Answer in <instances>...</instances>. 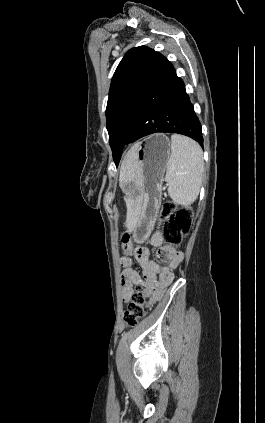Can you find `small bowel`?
<instances>
[{"label": "small bowel", "mask_w": 265, "mask_h": 423, "mask_svg": "<svg viewBox=\"0 0 265 423\" xmlns=\"http://www.w3.org/2000/svg\"><path fill=\"white\" fill-rule=\"evenodd\" d=\"M150 243L154 247L161 248L157 252L159 261L150 260L149 250L145 247L132 248L130 253L123 254L121 257L123 270L120 281L124 302L130 301L134 285L143 288L142 293L149 298L150 303L159 300L174 279L173 271L184 258L181 251L173 248H162L163 236L159 231L151 235ZM133 257L142 269L141 275L132 265Z\"/></svg>", "instance_id": "1"}]
</instances>
